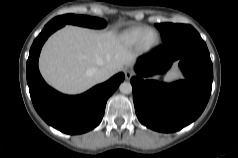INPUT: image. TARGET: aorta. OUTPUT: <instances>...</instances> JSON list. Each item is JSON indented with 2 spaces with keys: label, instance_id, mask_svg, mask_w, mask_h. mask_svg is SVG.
I'll list each match as a JSON object with an SVG mask.
<instances>
[{
  "label": "aorta",
  "instance_id": "aorta-1",
  "mask_svg": "<svg viewBox=\"0 0 238 158\" xmlns=\"http://www.w3.org/2000/svg\"><path fill=\"white\" fill-rule=\"evenodd\" d=\"M119 90L123 94H130L132 92V85L129 82H123L120 84Z\"/></svg>",
  "mask_w": 238,
  "mask_h": 158
}]
</instances>
